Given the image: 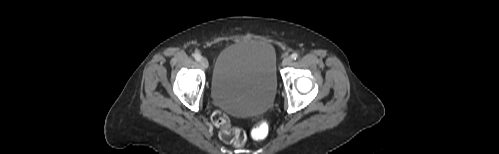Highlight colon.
Returning a JSON list of instances; mask_svg holds the SVG:
<instances>
[{
	"instance_id": "1",
	"label": "colon",
	"mask_w": 499,
	"mask_h": 154,
	"mask_svg": "<svg viewBox=\"0 0 499 154\" xmlns=\"http://www.w3.org/2000/svg\"><path fill=\"white\" fill-rule=\"evenodd\" d=\"M212 122L215 126L220 128V137L226 142L233 144L235 146H243L247 140V135L245 131L240 128L232 127L228 116L220 111L216 110L212 114ZM268 134V127L266 125H261L252 132L254 138H263Z\"/></svg>"
}]
</instances>
